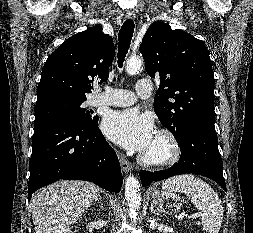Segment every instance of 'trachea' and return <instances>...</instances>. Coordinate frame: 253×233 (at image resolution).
<instances>
[{
    "label": "trachea",
    "instance_id": "3493384b",
    "mask_svg": "<svg viewBox=\"0 0 253 233\" xmlns=\"http://www.w3.org/2000/svg\"><path fill=\"white\" fill-rule=\"evenodd\" d=\"M134 22L131 19L126 20L119 32L118 66L122 68L124 58L128 52L131 39L134 32Z\"/></svg>",
    "mask_w": 253,
    "mask_h": 233
}]
</instances>
